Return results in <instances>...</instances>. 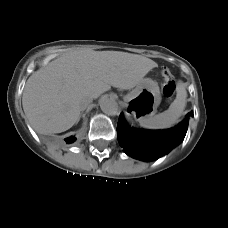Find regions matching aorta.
Segmentation results:
<instances>
[{"instance_id": "762f6f07", "label": "aorta", "mask_w": 228, "mask_h": 228, "mask_svg": "<svg viewBox=\"0 0 228 228\" xmlns=\"http://www.w3.org/2000/svg\"><path fill=\"white\" fill-rule=\"evenodd\" d=\"M99 103L101 110L107 115H116L119 111L118 103L111 97L104 96Z\"/></svg>"}]
</instances>
